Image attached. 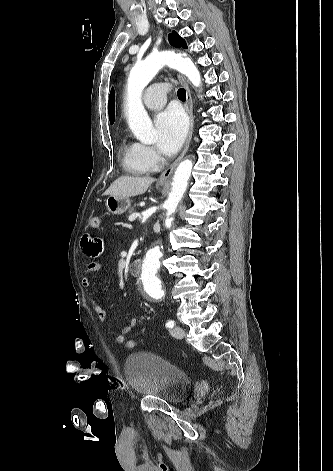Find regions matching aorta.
Here are the masks:
<instances>
[{"mask_svg": "<svg viewBox=\"0 0 333 471\" xmlns=\"http://www.w3.org/2000/svg\"><path fill=\"white\" fill-rule=\"evenodd\" d=\"M165 65L184 74L195 87L201 85L200 73L192 60L169 52L151 54L144 61L132 67L127 81L126 115L131 132L137 140L145 144L156 141V132L142 104L141 95L144 88ZM191 168V160L185 159L175 170L171 192L164 204L166 226L171 224L172 218L170 216L176 211L186 191ZM161 258V248L154 246L147 251L141 268V281L144 292L146 295L156 298L165 296V291L162 289L158 277Z\"/></svg>", "mask_w": 333, "mask_h": 471, "instance_id": "762f6f07", "label": "aorta"}]
</instances>
